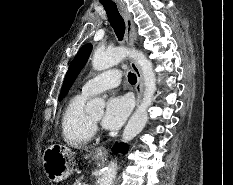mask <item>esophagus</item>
I'll use <instances>...</instances> for the list:
<instances>
[{"label": "esophagus", "mask_w": 233, "mask_h": 185, "mask_svg": "<svg viewBox=\"0 0 233 185\" xmlns=\"http://www.w3.org/2000/svg\"><path fill=\"white\" fill-rule=\"evenodd\" d=\"M122 16L125 22V26H126V41L129 47L133 48L135 46L136 43V32H135V26L132 20V17L130 15V13L126 10L122 8ZM131 67L134 71V73L136 74L137 77V84H136V106L139 105L140 101H141V97H142V93H143V76H142V72L137 64V62L132 59L131 62ZM107 150L104 147H99L97 149H95V154L97 155H101V156H106L107 155Z\"/></svg>", "instance_id": "34e87169"}]
</instances>
